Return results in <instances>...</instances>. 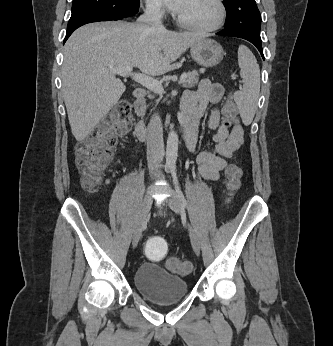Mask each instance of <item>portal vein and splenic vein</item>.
<instances>
[{
    "mask_svg": "<svg viewBox=\"0 0 333 346\" xmlns=\"http://www.w3.org/2000/svg\"><path fill=\"white\" fill-rule=\"evenodd\" d=\"M112 71L113 73L123 77H131L132 80L141 84L147 89L153 91L154 93L162 94L164 92L163 86L159 81H156L155 79L147 75L133 72V67H130V66L120 67L117 69H113ZM186 78H187V75L182 74L179 79V84L185 82Z\"/></svg>",
    "mask_w": 333,
    "mask_h": 346,
    "instance_id": "obj_1",
    "label": "portal vein and splenic vein"
}]
</instances>
